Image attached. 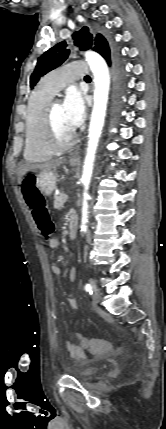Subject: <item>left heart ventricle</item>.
I'll return each instance as SVG.
<instances>
[{
	"label": "left heart ventricle",
	"mask_w": 166,
	"mask_h": 429,
	"mask_svg": "<svg viewBox=\"0 0 166 429\" xmlns=\"http://www.w3.org/2000/svg\"><path fill=\"white\" fill-rule=\"evenodd\" d=\"M53 127L59 141H65L73 131L68 125L61 103L54 106L52 112Z\"/></svg>",
	"instance_id": "1"
}]
</instances>
